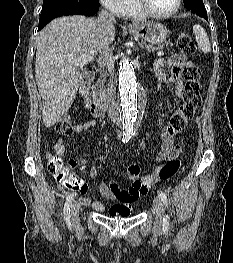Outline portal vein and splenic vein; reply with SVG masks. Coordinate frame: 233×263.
<instances>
[{"instance_id": "obj_1", "label": "portal vein and splenic vein", "mask_w": 233, "mask_h": 263, "mask_svg": "<svg viewBox=\"0 0 233 263\" xmlns=\"http://www.w3.org/2000/svg\"><path fill=\"white\" fill-rule=\"evenodd\" d=\"M158 56H163V51H158L157 52ZM93 59V57H89V58H84V59H78L75 61V64L77 66L82 67L83 65H85L86 63H88L89 61H91Z\"/></svg>"}]
</instances>
